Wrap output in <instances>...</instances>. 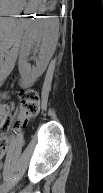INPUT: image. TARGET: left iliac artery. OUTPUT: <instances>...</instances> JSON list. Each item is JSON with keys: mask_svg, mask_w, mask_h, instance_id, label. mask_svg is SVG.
I'll list each match as a JSON object with an SVG mask.
<instances>
[{"mask_svg": "<svg viewBox=\"0 0 103 193\" xmlns=\"http://www.w3.org/2000/svg\"><path fill=\"white\" fill-rule=\"evenodd\" d=\"M7 184H8V182L4 183V184L2 185V187H5V186H7Z\"/></svg>", "mask_w": 103, "mask_h": 193, "instance_id": "obj_1", "label": "left iliac artery"}]
</instances>
